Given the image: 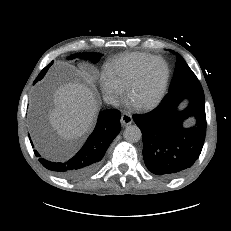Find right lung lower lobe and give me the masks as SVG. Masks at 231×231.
Listing matches in <instances>:
<instances>
[{"label": "right lung lower lobe", "instance_id": "right-lung-lower-lobe-1", "mask_svg": "<svg viewBox=\"0 0 231 231\" xmlns=\"http://www.w3.org/2000/svg\"><path fill=\"white\" fill-rule=\"evenodd\" d=\"M120 117V111L115 109L101 111L93 133L74 157L65 162H51L39 158L40 163L45 168L69 179H77L93 173L99 167L110 143L120 132ZM34 152L37 157H40L36 150Z\"/></svg>", "mask_w": 231, "mask_h": 231}]
</instances>
